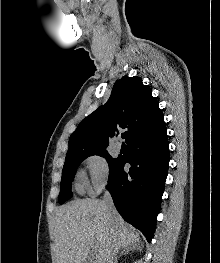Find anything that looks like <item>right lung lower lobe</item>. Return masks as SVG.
Returning <instances> with one entry per match:
<instances>
[{
	"label": "right lung lower lobe",
	"mask_w": 220,
	"mask_h": 263,
	"mask_svg": "<svg viewBox=\"0 0 220 263\" xmlns=\"http://www.w3.org/2000/svg\"><path fill=\"white\" fill-rule=\"evenodd\" d=\"M128 154L110 168L107 189L123 219L139 229L150 242L160 210L169 166L166 129L141 134L127 143ZM131 164L129 172L124 164Z\"/></svg>",
	"instance_id": "obj_1"
}]
</instances>
